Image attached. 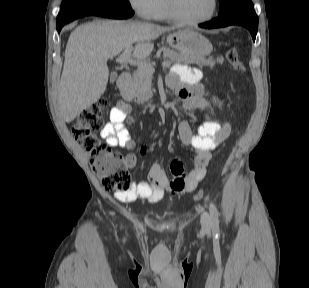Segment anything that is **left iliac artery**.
Here are the masks:
<instances>
[{"label":"left iliac artery","instance_id":"44dca946","mask_svg":"<svg viewBox=\"0 0 309 288\" xmlns=\"http://www.w3.org/2000/svg\"><path fill=\"white\" fill-rule=\"evenodd\" d=\"M210 215H211L212 227L214 230H217L219 227V220H218L219 213L214 203H210Z\"/></svg>","mask_w":309,"mask_h":288}]
</instances>
